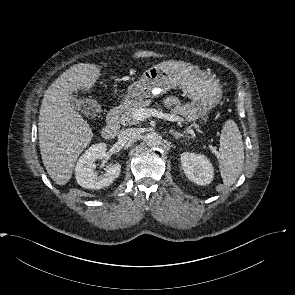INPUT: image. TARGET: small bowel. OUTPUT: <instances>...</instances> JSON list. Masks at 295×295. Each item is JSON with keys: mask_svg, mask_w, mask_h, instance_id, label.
I'll return each instance as SVG.
<instances>
[{"mask_svg": "<svg viewBox=\"0 0 295 295\" xmlns=\"http://www.w3.org/2000/svg\"><path fill=\"white\" fill-rule=\"evenodd\" d=\"M165 106L167 108L174 107L179 104V100L176 97H168L165 99Z\"/></svg>", "mask_w": 295, "mask_h": 295, "instance_id": "small-bowel-1", "label": "small bowel"}]
</instances>
